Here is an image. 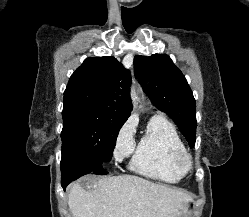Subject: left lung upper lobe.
Segmentation results:
<instances>
[{"instance_id":"left-lung-upper-lobe-1","label":"left lung upper lobe","mask_w":249,"mask_h":217,"mask_svg":"<svg viewBox=\"0 0 249 217\" xmlns=\"http://www.w3.org/2000/svg\"><path fill=\"white\" fill-rule=\"evenodd\" d=\"M134 69L157 109L168 114L193 147L196 133L195 99L185 76L169 56H135Z\"/></svg>"}]
</instances>
